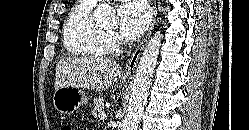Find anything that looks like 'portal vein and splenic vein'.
I'll use <instances>...</instances> for the list:
<instances>
[{"label":"portal vein and splenic vein","mask_w":249,"mask_h":130,"mask_svg":"<svg viewBox=\"0 0 249 130\" xmlns=\"http://www.w3.org/2000/svg\"><path fill=\"white\" fill-rule=\"evenodd\" d=\"M98 117L100 120H104L106 118V114L104 112H100Z\"/></svg>","instance_id":"1"}]
</instances>
